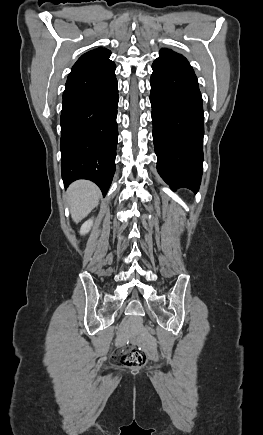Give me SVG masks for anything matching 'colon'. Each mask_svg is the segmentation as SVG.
Instances as JSON below:
<instances>
[{
	"label": "colon",
	"instance_id": "colon-1",
	"mask_svg": "<svg viewBox=\"0 0 263 435\" xmlns=\"http://www.w3.org/2000/svg\"><path fill=\"white\" fill-rule=\"evenodd\" d=\"M144 329H147L150 335L156 333L149 324H144ZM111 361L116 366L141 367L146 361V354L135 344H127L113 352Z\"/></svg>",
	"mask_w": 263,
	"mask_h": 435
}]
</instances>
